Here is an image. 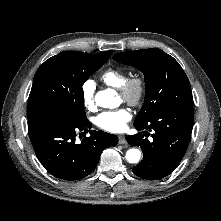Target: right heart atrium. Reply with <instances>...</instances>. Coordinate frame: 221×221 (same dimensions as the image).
<instances>
[{
	"label": "right heart atrium",
	"instance_id": "d8ad5b80",
	"mask_svg": "<svg viewBox=\"0 0 221 221\" xmlns=\"http://www.w3.org/2000/svg\"><path fill=\"white\" fill-rule=\"evenodd\" d=\"M95 83L93 80H86L81 87L82 100L88 110L95 109Z\"/></svg>",
	"mask_w": 221,
	"mask_h": 221
}]
</instances>
